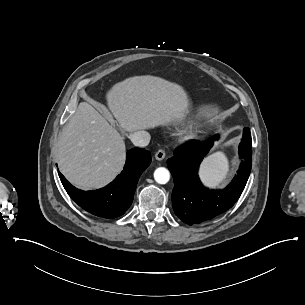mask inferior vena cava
<instances>
[{"mask_svg": "<svg viewBox=\"0 0 305 305\" xmlns=\"http://www.w3.org/2000/svg\"><path fill=\"white\" fill-rule=\"evenodd\" d=\"M150 134L146 131H137L130 136L131 142L135 146L144 147L150 142Z\"/></svg>", "mask_w": 305, "mask_h": 305, "instance_id": "inferior-vena-cava-1", "label": "inferior vena cava"}]
</instances>
